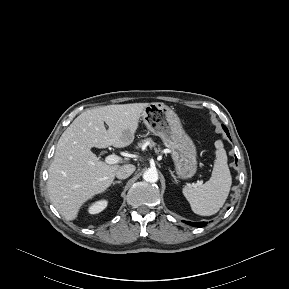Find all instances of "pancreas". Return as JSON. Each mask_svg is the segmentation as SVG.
<instances>
[{
    "instance_id": "obj_1",
    "label": "pancreas",
    "mask_w": 289,
    "mask_h": 289,
    "mask_svg": "<svg viewBox=\"0 0 289 289\" xmlns=\"http://www.w3.org/2000/svg\"><path fill=\"white\" fill-rule=\"evenodd\" d=\"M146 146L154 148L157 153H159L161 151L160 148H158V149L156 148V143L153 142L152 139H150V138H146V139L142 140L140 143H138L139 148L146 147Z\"/></svg>"
}]
</instances>
